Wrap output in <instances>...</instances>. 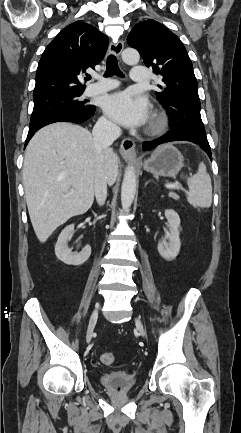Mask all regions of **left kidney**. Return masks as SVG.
<instances>
[{"label": "left kidney", "instance_id": "5707ae66", "mask_svg": "<svg viewBox=\"0 0 241 433\" xmlns=\"http://www.w3.org/2000/svg\"><path fill=\"white\" fill-rule=\"evenodd\" d=\"M165 216L168 221L169 232L159 242L157 249L161 257L167 261L176 258L181 248L180 242V217L171 209L165 210ZM168 240V242H167Z\"/></svg>", "mask_w": 241, "mask_h": 433}]
</instances>
